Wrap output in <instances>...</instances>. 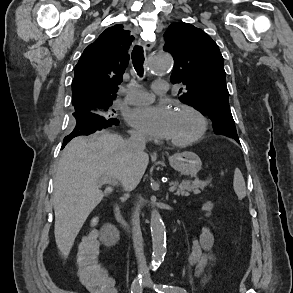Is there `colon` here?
Instances as JSON below:
<instances>
[{
  "label": "colon",
  "instance_id": "colon-1",
  "mask_svg": "<svg viewBox=\"0 0 293 293\" xmlns=\"http://www.w3.org/2000/svg\"><path fill=\"white\" fill-rule=\"evenodd\" d=\"M93 225L96 218L93 217ZM100 250L93 229L86 232L79 247L77 265L78 276L89 293H113L106 270L99 262Z\"/></svg>",
  "mask_w": 293,
  "mask_h": 293
}]
</instances>
